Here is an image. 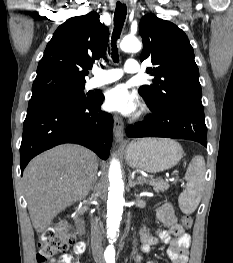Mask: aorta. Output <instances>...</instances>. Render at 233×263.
<instances>
[{"mask_svg": "<svg viewBox=\"0 0 233 263\" xmlns=\"http://www.w3.org/2000/svg\"><path fill=\"white\" fill-rule=\"evenodd\" d=\"M120 48L124 52H138L141 49V42L136 37L126 36L121 41ZM107 189V234L111 245L107 247L105 255L107 259L113 260L115 257L113 243L116 241L117 232L119 231L124 204V185L121 178L120 164L116 159H113L110 164Z\"/></svg>", "mask_w": 233, "mask_h": 263, "instance_id": "obj_1", "label": "aorta"}]
</instances>
